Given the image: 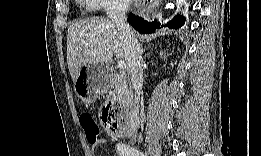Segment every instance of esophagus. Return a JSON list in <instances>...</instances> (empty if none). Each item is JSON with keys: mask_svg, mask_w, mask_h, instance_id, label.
Instances as JSON below:
<instances>
[{"mask_svg": "<svg viewBox=\"0 0 261 156\" xmlns=\"http://www.w3.org/2000/svg\"><path fill=\"white\" fill-rule=\"evenodd\" d=\"M157 6V3L156 2H154L153 4H152V9L151 10H145L144 12H146V14L148 15L149 13H151L153 10H154V8Z\"/></svg>", "mask_w": 261, "mask_h": 156, "instance_id": "esophagus-1", "label": "esophagus"}]
</instances>
